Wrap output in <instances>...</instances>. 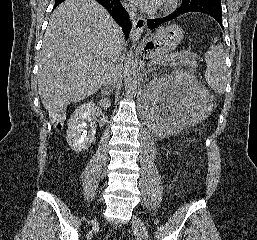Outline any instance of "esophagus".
Instances as JSON below:
<instances>
[{"mask_svg":"<svg viewBox=\"0 0 257 240\" xmlns=\"http://www.w3.org/2000/svg\"><path fill=\"white\" fill-rule=\"evenodd\" d=\"M144 27H145V18L144 17L139 16L138 18H136L134 20L133 28L131 31V39L133 41H137L140 38Z\"/></svg>","mask_w":257,"mask_h":240,"instance_id":"esophagus-1","label":"esophagus"}]
</instances>
